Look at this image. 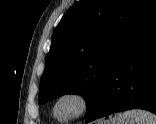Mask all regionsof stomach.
Listing matches in <instances>:
<instances>
[{
    "label": "stomach",
    "mask_w": 156,
    "mask_h": 124,
    "mask_svg": "<svg viewBox=\"0 0 156 124\" xmlns=\"http://www.w3.org/2000/svg\"><path fill=\"white\" fill-rule=\"evenodd\" d=\"M101 124H134V120L131 118H127L124 114L119 113L115 115L114 118L108 121H102Z\"/></svg>",
    "instance_id": "obj_1"
}]
</instances>
